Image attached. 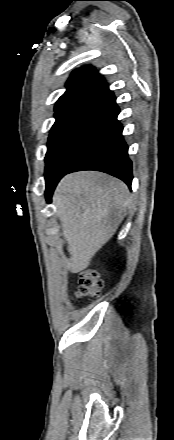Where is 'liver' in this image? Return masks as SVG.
<instances>
[{
  "label": "liver",
  "mask_w": 174,
  "mask_h": 440,
  "mask_svg": "<svg viewBox=\"0 0 174 440\" xmlns=\"http://www.w3.org/2000/svg\"><path fill=\"white\" fill-rule=\"evenodd\" d=\"M62 235L70 254L68 269H86L95 254L115 234L131 205L128 187L96 171L64 176L53 195Z\"/></svg>",
  "instance_id": "liver-1"
}]
</instances>
